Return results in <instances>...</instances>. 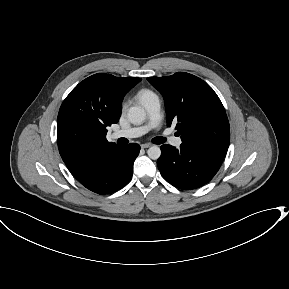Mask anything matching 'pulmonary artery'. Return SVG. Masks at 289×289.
<instances>
[{
	"label": "pulmonary artery",
	"mask_w": 289,
	"mask_h": 289,
	"mask_svg": "<svg viewBox=\"0 0 289 289\" xmlns=\"http://www.w3.org/2000/svg\"><path fill=\"white\" fill-rule=\"evenodd\" d=\"M148 113V123L144 126L133 127L127 129L117 130L112 133L111 137L113 139L118 138H136L145 134L151 127L155 126L160 120V102L157 97L150 99L145 105ZM182 143L181 138L173 137L171 138V144L174 146H180Z\"/></svg>",
	"instance_id": "1"
}]
</instances>
